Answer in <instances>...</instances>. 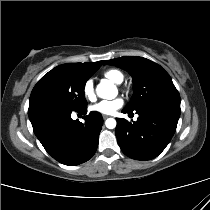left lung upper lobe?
Instances as JSON below:
<instances>
[{
  "instance_id": "5c2ea615",
  "label": "left lung upper lobe",
  "mask_w": 210,
  "mask_h": 210,
  "mask_svg": "<svg viewBox=\"0 0 210 210\" xmlns=\"http://www.w3.org/2000/svg\"><path fill=\"white\" fill-rule=\"evenodd\" d=\"M105 64L127 70L133 78L134 94L125 109L135 111L155 104L180 105V96L169 74L157 63L137 56L107 60Z\"/></svg>"
}]
</instances>
